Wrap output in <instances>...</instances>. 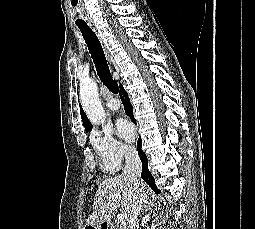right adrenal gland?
Here are the masks:
<instances>
[{
    "instance_id": "1",
    "label": "right adrenal gland",
    "mask_w": 255,
    "mask_h": 229,
    "mask_svg": "<svg viewBox=\"0 0 255 229\" xmlns=\"http://www.w3.org/2000/svg\"><path fill=\"white\" fill-rule=\"evenodd\" d=\"M154 200H151L149 197L148 198H146V200H145V204H144V206H143V208L140 210V214H142V213H144V211H147L148 210V208H150L151 206H153L154 205V202H153Z\"/></svg>"
}]
</instances>
